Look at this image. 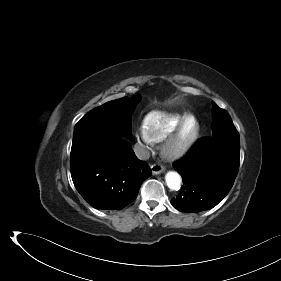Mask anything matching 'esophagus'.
Listing matches in <instances>:
<instances>
[{
	"label": "esophagus",
	"mask_w": 281,
	"mask_h": 281,
	"mask_svg": "<svg viewBox=\"0 0 281 281\" xmlns=\"http://www.w3.org/2000/svg\"><path fill=\"white\" fill-rule=\"evenodd\" d=\"M151 171L154 175H157L164 172L165 168L161 164H153L151 166Z\"/></svg>",
	"instance_id": "esophagus-1"
}]
</instances>
